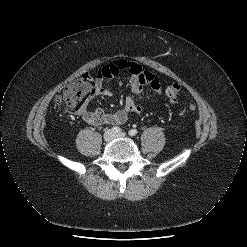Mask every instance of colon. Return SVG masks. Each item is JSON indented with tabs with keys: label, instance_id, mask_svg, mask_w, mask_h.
Segmentation results:
<instances>
[{
	"label": "colon",
	"instance_id": "obj_1",
	"mask_svg": "<svg viewBox=\"0 0 247 247\" xmlns=\"http://www.w3.org/2000/svg\"><path fill=\"white\" fill-rule=\"evenodd\" d=\"M95 91L93 79L88 74H85L75 78L65 86L57 95L56 104L72 114H82ZM181 93L182 90L177 83L168 85L165 88V94L172 104L178 102ZM191 108H194L193 104H191Z\"/></svg>",
	"mask_w": 247,
	"mask_h": 247
}]
</instances>
